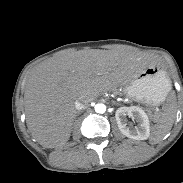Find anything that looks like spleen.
Instances as JSON below:
<instances>
[{
	"label": "spleen",
	"mask_w": 183,
	"mask_h": 183,
	"mask_svg": "<svg viewBox=\"0 0 183 183\" xmlns=\"http://www.w3.org/2000/svg\"><path fill=\"white\" fill-rule=\"evenodd\" d=\"M145 80H137L133 85V89H138L142 87ZM171 90V85L169 86V91ZM176 117V101L175 97L172 96L168 99V107L163 112L159 122L152 127V134L150 142L156 144L160 142L171 130Z\"/></svg>",
	"instance_id": "spleen-1"
}]
</instances>
